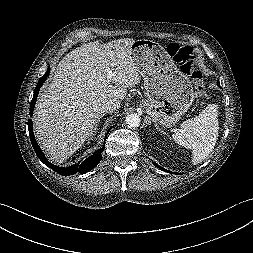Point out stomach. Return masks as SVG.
<instances>
[{
	"mask_svg": "<svg viewBox=\"0 0 253 253\" xmlns=\"http://www.w3.org/2000/svg\"><path fill=\"white\" fill-rule=\"evenodd\" d=\"M131 56L145 80L147 99L142 106L146 113L156 126L176 124L195 98L189 78L178 70L167 51L152 40H135Z\"/></svg>",
	"mask_w": 253,
	"mask_h": 253,
	"instance_id": "1",
	"label": "stomach"
}]
</instances>
